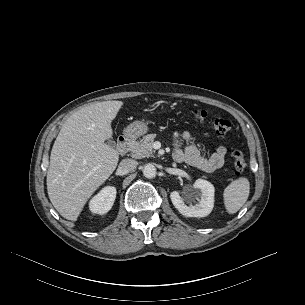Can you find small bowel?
Masks as SVG:
<instances>
[{"instance_id": "obj_1", "label": "small bowel", "mask_w": 305, "mask_h": 305, "mask_svg": "<svg viewBox=\"0 0 305 305\" xmlns=\"http://www.w3.org/2000/svg\"><path fill=\"white\" fill-rule=\"evenodd\" d=\"M173 159L186 162L205 172H213L221 168L225 162L226 149L219 147L215 153L206 158L202 156L187 132L176 133L173 139Z\"/></svg>"}]
</instances>
